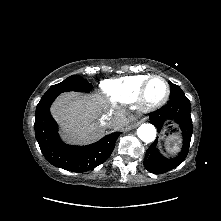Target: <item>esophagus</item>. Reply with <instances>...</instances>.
<instances>
[{"label":"esophagus","mask_w":221,"mask_h":221,"mask_svg":"<svg viewBox=\"0 0 221 221\" xmlns=\"http://www.w3.org/2000/svg\"><path fill=\"white\" fill-rule=\"evenodd\" d=\"M142 121H139L137 124H140Z\"/></svg>","instance_id":"1"}]
</instances>
